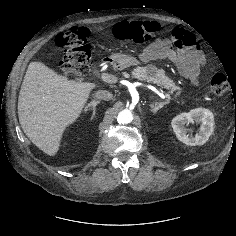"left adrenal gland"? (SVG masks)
<instances>
[{
	"mask_svg": "<svg viewBox=\"0 0 236 236\" xmlns=\"http://www.w3.org/2000/svg\"><path fill=\"white\" fill-rule=\"evenodd\" d=\"M169 104V100L163 101V102H154V104H150L151 112L154 114L161 108L164 107V105Z\"/></svg>",
	"mask_w": 236,
	"mask_h": 236,
	"instance_id": "1",
	"label": "left adrenal gland"
}]
</instances>
